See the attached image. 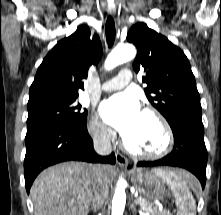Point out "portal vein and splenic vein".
Wrapping results in <instances>:
<instances>
[{"label": "portal vein and splenic vein", "instance_id": "18ae733b", "mask_svg": "<svg viewBox=\"0 0 221 215\" xmlns=\"http://www.w3.org/2000/svg\"><path fill=\"white\" fill-rule=\"evenodd\" d=\"M134 201H135L136 204H141L143 200L140 199V198H135ZM145 215H149V213H145Z\"/></svg>", "mask_w": 221, "mask_h": 215}]
</instances>
